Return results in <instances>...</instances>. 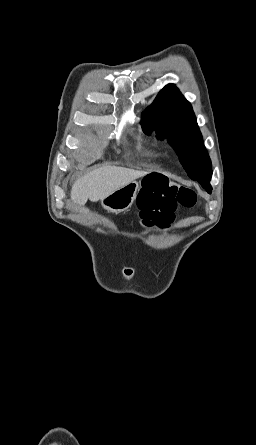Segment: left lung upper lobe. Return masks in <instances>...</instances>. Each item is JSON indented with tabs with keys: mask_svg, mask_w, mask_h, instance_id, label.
Listing matches in <instances>:
<instances>
[{
	"mask_svg": "<svg viewBox=\"0 0 256 445\" xmlns=\"http://www.w3.org/2000/svg\"><path fill=\"white\" fill-rule=\"evenodd\" d=\"M140 123L146 134L155 130L157 138H167L191 179L210 181L211 160L195 114L174 84L166 85L159 92Z\"/></svg>",
	"mask_w": 256,
	"mask_h": 445,
	"instance_id": "5c2ea615",
	"label": "left lung upper lobe"
}]
</instances>
